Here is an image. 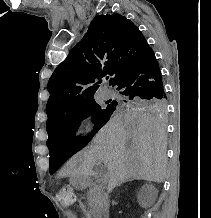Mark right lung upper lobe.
I'll list each match as a JSON object with an SVG mask.
<instances>
[{
    "label": "right lung upper lobe",
    "instance_id": "obj_1",
    "mask_svg": "<svg viewBox=\"0 0 211 218\" xmlns=\"http://www.w3.org/2000/svg\"><path fill=\"white\" fill-rule=\"evenodd\" d=\"M150 50L140 30L126 17L117 13L96 16L49 79L47 131L62 116L94 100L100 82L95 83L97 79L109 74L113 84Z\"/></svg>",
    "mask_w": 211,
    "mask_h": 218
}]
</instances>
